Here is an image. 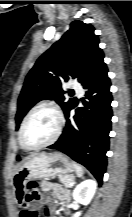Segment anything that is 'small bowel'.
I'll use <instances>...</instances> for the list:
<instances>
[{"label": "small bowel", "instance_id": "small-bowel-1", "mask_svg": "<svg viewBox=\"0 0 132 217\" xmlns=\"http://www.w3.org/2000/svg\"><path fill=\"white\" fill-rule=\"evenodd\" d=\"M41 187L47 193L52 192L59 201L66 204L70 202L71 195L69 190L61 187L60 185L50 181H43L41 183ZM16 198L18 204L22 208L19 214L20 217H27L29 212L38 209L40 205L45 207L47 215H50L54 210V202L49 195L42 197L39 201L28 203L24 198V191L17 189Z\"/></svg>", "mask_w": 132, "mask_h": 217}]
</instances>
